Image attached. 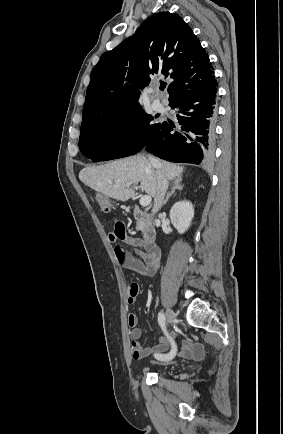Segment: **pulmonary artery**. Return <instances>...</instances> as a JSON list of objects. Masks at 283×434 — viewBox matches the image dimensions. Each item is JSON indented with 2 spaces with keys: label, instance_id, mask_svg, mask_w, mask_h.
<instances>
[{
  "label": "pulmonary artery",
  "instance_id": "1",
  "mask_svg": "<svg viewBox=\"0 0 283 434\" xmlns=\"http://www.w3.org/2000/svg\"><path fill=\"white\" fill-rule=\"evenodd\" d=\"M152 107L157 112H163L165 107L159 98L153 100Z\"/></svg>",
  "mask_w": 283,
  "mask_h": 434
}]
</instances>
